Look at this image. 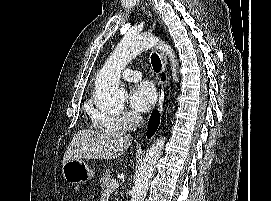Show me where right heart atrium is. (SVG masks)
Segmentation results:
<instances>
[{"label":"right heart atrium","instance_id":"right-heart-atrium-1","mask_svg":"<svg viewBox=\"0 0 271 201\" xmlns=\"http://www.w3.org/2000/svg\"><path fill=\"white\" fill-rule=\"evenodd\" d=\"M139 120V115L130 110H125L118 115H107L102 112H95L93 114V121L98 126H109L122 130L133 129Z\"/></svg>","mask_w":271,"mask_h":201}]
</instances>
